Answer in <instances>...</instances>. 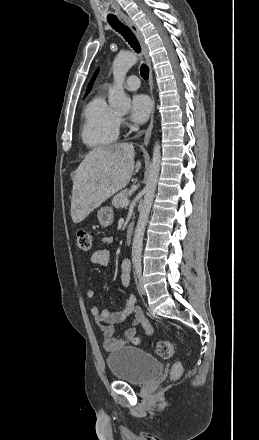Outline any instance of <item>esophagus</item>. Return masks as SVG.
I'll return each instance as SVG.
<instances>
[{"label":"esophagus","instance_id":"esophagus-1","mask_svg":"<svg viewBox=\"0 0 259 440\" xmlns=\"http://www.w3.org/2000/svg\"><path fill=\"white\" fill-rule=\"evenodd\" d=\"M121 18L131 28L133 33L136 35V37H137V39H138V41H139V43H140V45L142 47L144 57L146 59L148 67H149V88H150V94H151V97H152L153 109H152L150 123H149V126H148L147 130H146L144 141H143V147H147V145L149 144L151 133H152V129H153L154 111H155V99H154V94H153V79H152L151 59H150V55H149V50H148L147 44L145 43L144 37H143L140 29L136 25V23L130 17H128L127 15H121Z\"/></svg>","mask_w":259,"mask_h":440}]
</instances>
